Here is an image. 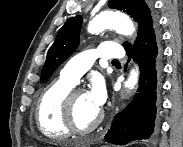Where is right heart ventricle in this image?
<instances>
[{"instance_id":"right-heart-ventricle-1","label":"right heart ventricle","mask_w":183,"mask_h":147,"mask_svg":"<svg viewBox=\"0 0 183 147\" xmlns=\"http://www.w3.org/2000/svg\"><path fill=\"white\" fill-rule=\"evenodd\" d=\"M73 87V83L60 77L51 82L38 99L36 122L41 133L49 139H63L71 134L63 121L62 105Z\"/></svg>"}]
</instances>
